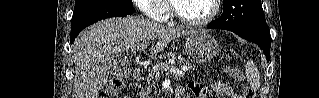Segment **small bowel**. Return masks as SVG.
Returning <instances> with one entry per match:
<instances>
[{"instance_id": "1", "label": "small bowel", "mask_w": 319, "mask_h": 98, "mask_svg": "<svg viewBox=\"0 0 319 98\" xmlns=\"http://www.w3.org/2000/svg\"><path fill=\"white\" fill-rule=\"evenodd\" d=\"M188 86L196 98H207L209 90L219 97L240 98L239 95L233 93L230 85L220 81L212 83L209 88L194 81L189 82Z\"/></svg>"}]
</instances>
